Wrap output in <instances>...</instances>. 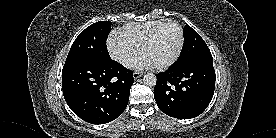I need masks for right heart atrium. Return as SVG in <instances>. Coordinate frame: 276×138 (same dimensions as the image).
<instances>
[{
	"mask_svg": "<svg viewBox=\"0 0 276 138\" xmlns=\"http://www.w3.org/2000/svg\"><path fill=\"white\" fill-rule=\"evenodd\" d=\"M110 56L124 67H131L140 55V48L131 42L113 34L107 41Z\"/></svg>",
	"mask_w": 276,
	"mask_h": 138,
	"instance_id": "d8ad5b80",
	"label": "right heart atrium"
}]
</instances>
